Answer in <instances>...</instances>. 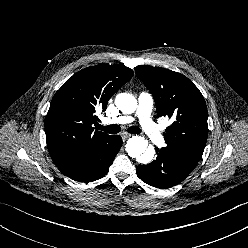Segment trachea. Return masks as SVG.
Wrapping results in <instances>:
<instances>
[{"mask_svg":"<svg viewBox=\"0 0 248 248\" xmlns=\"http://www.w3.org/2000/svg\"><path fill=\"white\" fill-rule=\"evenodd\" d=\"M98 129L102 130L106 133H110V134H116V133H119L121 131L120 126L117 124H112V125H108V126L99 125ZM127 131H128V133H131V134H140L141 133V129L136 127V126L129 127L127 129Z\"/></svg>","mask_w":248,"mask_h":248,"instance_id":"trachea-1","label":"trachea"}]
</instances>
